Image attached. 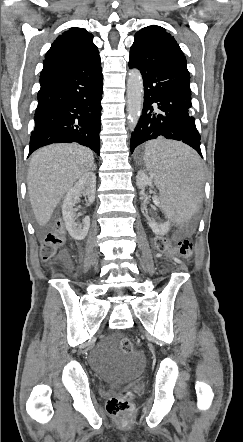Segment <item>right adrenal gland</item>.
I'll return each instance as SVG.
<instances>
[{
	"label": "right adrenal gland",
	"instance_id": "obj_1",
	"mask_svg": "<svg viewBox=\"0 0 243 442\" xmlns=\"http://www.w3.org/2000/svg\"><path fill=\"white\" fill-rule=\"evenodd\" d=\"M95 169H96V166L94 165L93 168H92V170H95Z\"/></svg>",
	"mask_w": 243,
	"mask_h": 442
}]
</instances>
